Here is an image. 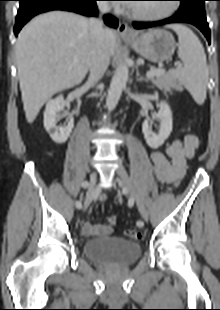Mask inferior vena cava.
Masks as SVG:
<instances>
[{"label": "inferior vena cava", "mask_w": 220, "mask_h": 310, "mask_svg": "<svg viewBox=\"0 0 220 310\" xmlns=\"http://www.w3.org/2000/svg\"><path fill=\"white\" fill-rule=\"evenodd\" d=\"M97 6L101 14L110 10L109 5L104 1H98ZM89 25L91 29V56L88 83L94 86L101 79L110 62L107 45L108 30L103 27L100 18H91Z\"/></svg>", "instance_id": "1"}]
</instances>
